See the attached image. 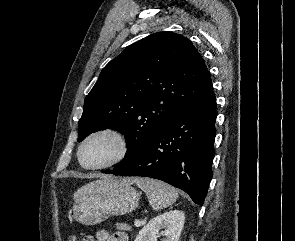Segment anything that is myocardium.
<instances>
[{"label":"myocardium","mask_w":295,"mask_h":241,"mask_svg":"<svg viewBox=\"0 0 295 241\" xmlns=\"http://www.w3.org/2000/svg\"><path fill=\"white\" fill-rule=\"evenodd\" d=\"M103 134L111 135L118 140V142L120 144L119 154L111 161L100 164V165H95V166L85 165L81 159V153H82L84 146L86 145V143L89 140H91L95 136L103 135ZM130 151H131L130 141H129L127 135L123 131H121L120 129H117L115 127H103V128H99V129L92 131L82 140V142L78 146L77 159H78L79 164L84 169L101 170V169H107V168H111V167L121 164L122 162H124L127 159V157L130 154Z\"/></svg>","instance_id":"1"}]
</instances>
